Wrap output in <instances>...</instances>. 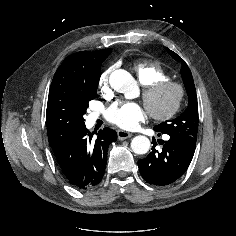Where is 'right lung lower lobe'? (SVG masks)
Returning <instances> with one entry per match:
<instances>
[{
  "instance_id": "98d812e1",
  "label": "right lung lower lobe",
  "mask_w": 236,
  "mask_h": 236,
  "mask_svg": "<svg viewBox=\"0 0 236 236\" xmlns=\"http://www.w3.org/2000/svg\"><path fill=\"white\" fill-rule=\"evenodd\" d=\"M117 140V133L109 128L98 132L92 141V134L85 124L76 130L64 150L56 156L63 175L77 189H90L102 179L109 145Z\"/></svg>"
}]
</instances>
